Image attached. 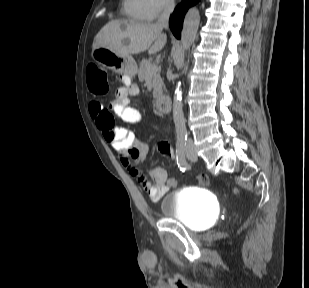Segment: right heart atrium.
Segmentation results:
<instances>
[{"instance_id":"1","label":"right heart atrium","mask_w":309,"mask_h":288,"mask_svg":"<svg viewBox=\"0 0 309 288\" xmlns=\"http://www.w3.org/2000/svg\"><path fill=\"white\" fill-rule=\"evenodd\" d=\"M149 12L150 19L170 11L174 5V0H143Z\"/></svg>"}]
</instances>
